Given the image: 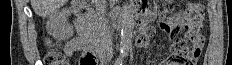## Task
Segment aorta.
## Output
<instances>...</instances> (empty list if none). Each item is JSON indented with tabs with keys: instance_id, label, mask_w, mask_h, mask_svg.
<instances>
[{
	"instance_id": "762f6f07",
	"label": "aorta",
	"mask_w": 232,
	"mask_h": 65,
	"mask_svg": "<svg viewBox=\"0 0 232 65\" xmlns=\"http://www.w3.org/2000/svg\"><path fill=\"white\" fill-rule=\"evenodd\" d=\"M134 14L132 7L125 4L121 12L120 55L127 56L130 50L134 30Z\"/></svg>"
}]
</instances>
